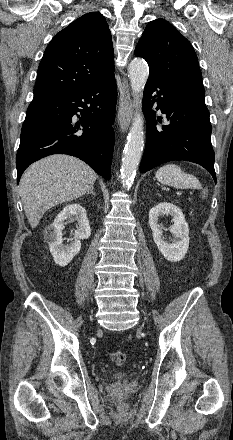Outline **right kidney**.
<instances>
[{"instance_id": "ca27d5eb", "label": "right kidney", "mask_w": 233, "mask_h": 440, "mask_svg": "<svg viewBox=\"0 0 233 440\" xmlns=\"http://www.w3.org/2000/svg\"><path fill=\"white\" fill-rule=\"evenodd\" d=\"M73 217L78 222V228L74 232V241L68 245L63 244V230L65 225ZM46 240L49 243L50 252L54 262L64 267L72 261L81 249V241L90 237L91 229L87 219L86 210L79 203L67 205L57 215L53 224L45 230Z\"/></svg>"}]
</instances>
